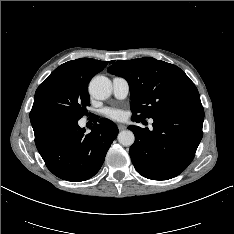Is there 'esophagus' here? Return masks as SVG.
I'll return each mask as SVG.
<instances>
[{
	"label": "esophagus",
	"instance_id": "esophagus-1",
	"mask_svg": "<svg viewBox=\"0 0 234 234\" xmlns=\"http://www.w3.org/2000/svg\"><path fill=\"white\" fill-rule=\"evenodd\" d=\"M118 129H119L120 131H122V130L126 129V126L123 125V124H118Z\"/></svg>",
	"mask_w": 234,
	"mask_h": 234
}]
</instances>
